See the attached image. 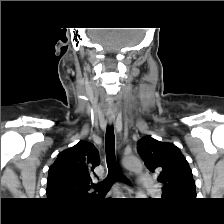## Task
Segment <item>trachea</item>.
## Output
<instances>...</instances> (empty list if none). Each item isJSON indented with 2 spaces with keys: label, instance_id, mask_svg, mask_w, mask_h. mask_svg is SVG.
I'll return each mask as SVG.
<instances>
[{
  "label": "trachea",
  "instance_id": "trachea-1",
  "mask_svg": "<svg viewBox=\"0 0 224 224\" xmlns=\"http://www.w3.org/2000/svg\"><path fill=\"white\" fill-rule=\"evenodd\" d=\"M105 144H106V161L108 167V175L107 178L102 183L93 186V188L97 190L99 194L107 193L116 180L128 183L127 179L120 172L116 163L115 135L113 126L107 127Z\"/></svg>",
  "mask_w": 224,
  "mask_h": 224
}]
</instances>
